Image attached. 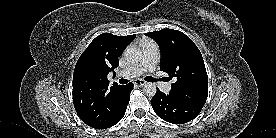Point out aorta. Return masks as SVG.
Segmentation results:
<instances>
[{
    "label": "aorta",
    "mask_w": 276,
    "mask_h": 138,
    "mask_svg": "<svg viewBox=\"0 0 276 138\" xmlns=\"http://www.w3.org/2000/svg\"><path fill=\"white\" fill-rule=\"evenodd\" d=\"M141 57H142V53L136 47L129 46L124 51V58L130 64L138 63L141 60ZM143 92L148 97H153L157 92L156 85L154 83H147L143 87Z\"/></svg>",
    "instance_id": "aorta-1"
}]
</instances>
